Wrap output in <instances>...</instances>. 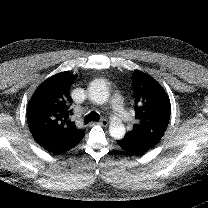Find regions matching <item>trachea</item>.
<instances>
[{
	"label": "trachea",
	"instance_id": "obj_1",
	"mask_svg": "<svg viewBox=\"0 0 208 208\" xmlns=\"http://www.w3.org/2000/svg\"><path fill=\"white\" fill-rule=\"evenodd\" d=\"M99 119H100V116L98 115V113L92 111L84 117V122L88 124L91 121H99Z\"/></svg>",
	"mask_w": 208,
	"mask_h": 208
}]
</instances>
